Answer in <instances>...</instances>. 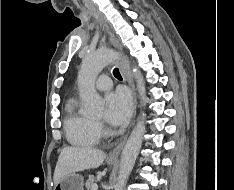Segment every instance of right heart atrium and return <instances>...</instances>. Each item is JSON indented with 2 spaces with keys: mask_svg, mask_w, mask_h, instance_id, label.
Returning a JSON list of instances; mask_svg holds the SVG:
<instances>
[{
  "mask_svg": "<svg viewBox=\"0 0 234 190\" xmlns=\"http://www.w3.org/2000/svg\"><path fill=\"white\" fill-rule=\"evenodd\" d=\"M96 126H97L99 131H101L103 129V125L100 122H96Z\"/></svg>",
  "mask_w": 234,
  "mask_h": 190,
  "instance_id": "obj_1",
  "label": "right heart atrium"
}]
</instances>
